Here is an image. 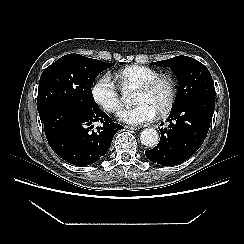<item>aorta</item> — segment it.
<instances>
[{
  "label": "aorta",
  "mask_w": 244,
  "mask_h": 244,
  "mask_svg": "<svg viewBox=\"0 0 244 244\" xmlns=\"http://www.w3.org/2000/svg\"><path fill=\"white\" fill-rule=\"evenodd\" d=\"M140 140L146 147H155L159 142V134L155 129L147 128L141 132Z\"/></svg>",
  "instance_id": "762f6f07"
}]
</instances>
